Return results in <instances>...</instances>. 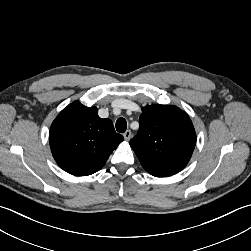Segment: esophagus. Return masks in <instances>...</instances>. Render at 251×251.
Listing matches in <instances>:
<instances>
[{"instance_id":"34e87169","label":"esophagus","mask_w":251,"mask_h":251,"mask_svg":"<svg viewBox=\"0 0 251 251\" xmlns=\"http://www.w3.org/2000/svg\"><path fill=\"white\" fill-rule=\"evenodd\" d=\"M132 137V133L130 130H127L125 133H124V138L126 141H129Z\"/></svg>"}]
</instances>
